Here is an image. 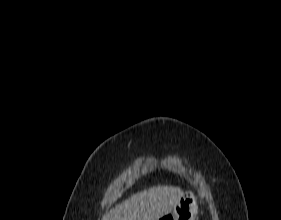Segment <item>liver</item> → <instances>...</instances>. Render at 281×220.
I'll list each match as a JSON object with an SVG mask.
<instances>
[{"label":"liver","instance_id":"1","mask_svg":"<svg viewBox=\"0 0 281 220\" xmlns=\"http://www.w3.org/2000/svg\"><path fill=\"white\" fill-rule=\"evenodd\" d=\"M182 195L179 187H151L112 208L103 220H159L173 210Z\"/></svg>","mask_w":281,"mask_h":220}]
</instances>
